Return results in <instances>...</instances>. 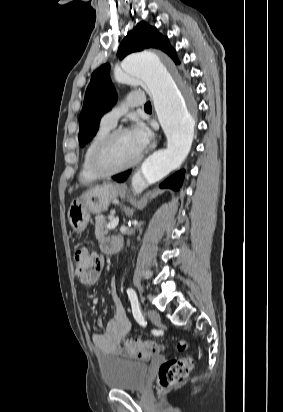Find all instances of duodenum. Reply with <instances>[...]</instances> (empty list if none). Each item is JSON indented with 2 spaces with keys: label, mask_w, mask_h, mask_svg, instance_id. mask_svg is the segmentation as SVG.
Instances as JSON below:
<instances>
[{
  "label": "duodenum",
  "mask_w": 283,
  "mask_h": 412,
  "mask_svg": "<svg viewBox=\"0 0 283 412\" xmlns=\"http://www.w3.org/2000/svg\"><path fill=\"white\" fill-rule=\"evenodd\" d=\"M120 248H121V240H120V239H116V240L113 242L110 250H111L112 253H116V252H118V251L120 250Z\"/></svg>",
  "instance_id": "duodenum-1"
}]
</instances>
